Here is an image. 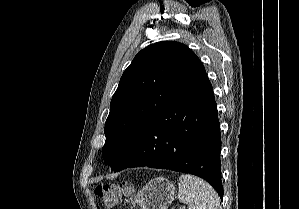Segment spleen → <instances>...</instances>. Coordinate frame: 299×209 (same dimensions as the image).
<instances>
[{
	"label": "spleen",
	"instance_id": "spleen-1",
	"mask_svg": "<svg viewBox=\"0 0 299 209\" xmlns=\"http://www.w3.org/2000/svg\"><path fill=\"white\" fill-rule=\"evenodd\" d=\"M178 189V199L187 204L189 209H221L218 194L201 178L182 174Z\"/></svg>",
	"mask_w": 299,
	"mask_h": 209
}]
</instances>
